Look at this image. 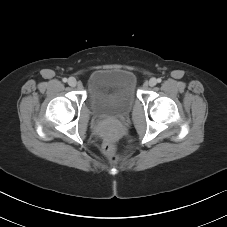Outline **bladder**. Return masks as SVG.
<instances>
[{
	"mask_svg": "<svg viewBox=\"0 0 227 227\" xmlns=\"http://www.w3.org/2000/svg\"><path fill=\"white\" fill-rule=\"evenodd\" d=\"M135 77L122 69H99L88 80V100L99 118L127 115L135 103Z\"/></svg>",
	"mask_w": 227,
	"mask_h": 227,
	"instance_id": "31cf9c89",
	"label": "bladder"
}]
</instances>
